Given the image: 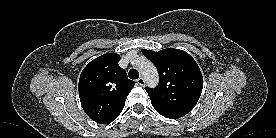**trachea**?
<instances>
[{
  "instance_id": "3493384b",
  "label": "trachea",
  "mask_w": 276,
  "mask_h": 138,
  "mask_svg": "<svg viewBox=\"0 0 276 138\" xmlns=\"http://www.w3.org/2000/svg\"><path fill=\"white\" fill-rule=\"evenodd\" d=\"M128 76L130 79H133V80L138 79L139 72L136 69H131L128 73Z\"/></svg>"
}]
</instances>
